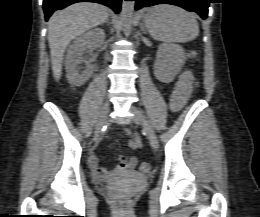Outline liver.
I'll list each match as a JSON object with an SVG mask.
<instances>
[{"label":"liver","mask_w":260,"mask_h":217,"mask_svg":"<svg viewBox=\"0 0 260 217\" xmlns=\"http://www.w3.org/2000/svg\"><path fill=\"white\" fill-rule=\"evenodd\" d=\"M108 18L107 9L97 3L81 2L55 12L48 22V42L53 76L58 81L62 74L65 49L83 32L103 24Z\"/></svg>","instance_id":"1"}]
</instances>
